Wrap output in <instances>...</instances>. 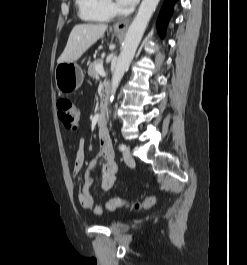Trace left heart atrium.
Listing matches in <instances>:
<instances>
[{"instance_id":"39dd6f15","label":"left heart atrium","mask_w":247,"mask_h":265,"mask_svg":"<svg viewBox=\"0 0 247 265\" xmlns=\"http://www.w3.org/2000/svg\"><path fill=\"white\" fill-rule=\"evenodd\" d=\"M136 1L137 0H117L118 4L124 8L132 6Z\"/></svg>"}]
</instances>
